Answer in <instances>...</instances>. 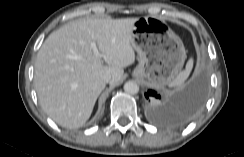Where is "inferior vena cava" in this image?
Returning <instances> with one entry per match:
<instances>
[{
    "instance_id": "inferior-vena-cava-1",
    "label": "inferior vena cava",
    "mask_w": 244,
    "mask_h": 157,
    "mask_svg": "<svg viewBox=\"0 0 244 157\" xmlns=\"http://www.w3.org/2000/svg\"><path fill=\"white\" fill-rule=\"evenodd\" d=\"M110 80H111V75H110V74H104V75L102 76V81H103L104 83H108V82H110Z\"/></svg>"
}]
</instances>
